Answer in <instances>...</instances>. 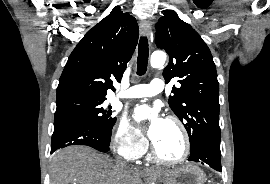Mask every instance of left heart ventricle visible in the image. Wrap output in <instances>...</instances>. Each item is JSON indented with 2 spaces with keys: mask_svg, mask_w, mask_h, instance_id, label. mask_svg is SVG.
<instances>
[{
  "mask_svg": "<svg viewBox=\"0 0 270 184\" xmlns=\"http://www.w3.org/2000/svg\"><path fill=\"white\" fill-rule=\"evenodd\" d=\"M154 144L159 154L170 160L180 157L183 151L182 135L177 126L168 121H165L164 127Z\"/></svg>",
  "mask_w": 270,
  "mask_h": 184,
  "instance_id": "b2bd125f",
  "label": "left heart ventricle"
}]
</instances>
